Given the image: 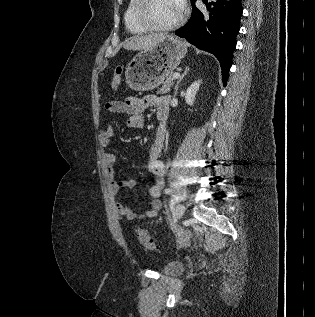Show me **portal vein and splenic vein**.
Here are the masks:
<instances>
[{"label": "portal vein and splenic vein", "mask_w": 315, "mask_h": 317, "mask_svg": "<svg viewBox=\"0 0 315 317\" xmlns=\"http://www.w3.org/2000/svg\"><path fill=\"white\" fill-rule=\"evenodd\" d=\"M179 77H180V73H174L173 79H177V78H179Z\"/></svg>", "instance_id": "obj_1"}]
</instances>
